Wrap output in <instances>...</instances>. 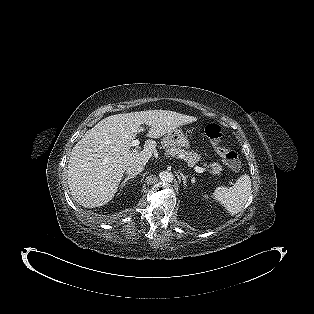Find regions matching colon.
<instances>
[{
	"label": "colon",
	"instance_id": "1",
	"mask_svg": "<svg viewBox=\"0 0 314 314\" xmlns=\"http://www.w3.org/2000/svg\"><path fill=\"white\" fill-rule=\"evenodd\" d=\"M205 134L228 167L233 170H238L241 166L239 156L235 150L223 145L224 133L222 128L216 123H210L205 128Z\"/></svg>",
	"mask_w": 314,
	"mask_h": 314
}]
</instances>
